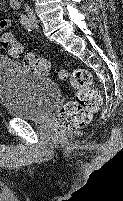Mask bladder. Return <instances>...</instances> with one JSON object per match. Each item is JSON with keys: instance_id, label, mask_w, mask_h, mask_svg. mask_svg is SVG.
<instances>
[{"instance_id": "1", "label": "bladder", "mask_w": 123, "mask_h": 201, "mask_svg": "<svg viewBox=\"0 0 123 201\" xmlns=\"http://www.w3.org/2000/svg\"><path fill=\"white\" fill-rule=\"evenodd\" d=\"M59 100L60 91L55 82L30 73L11 57L0 56V105L9 115L41 121Z\"/></svg>"}]
</instances>
